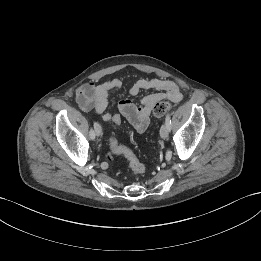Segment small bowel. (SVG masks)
I'll return each instance as SVG.
<instances>
[{
	"instance_id": "1",
	"label": "small bowel",
	"mask_w": 261,
	"mask_h": 261,
	"mask_svg": "<svg viewBox=\"0 0 261 261\" xmlns=\"http://www.w3.org/2000/svg\"><path fill=\"white\" fill-rule=\"evenodd\" d=\"M122 85L123 82L120 79H109L99 84L85 83L76 91L77 103L85 112L94 111L101 114L103 121H113L115 117L121 118L118 114L113 115L105 111L108 106L109 93L121 88ZM144 90H150L151 93L142 97L139 103L130 98L118 103L120 114L139 133H143L148 128L151 111L157 102L163 99L180 102L183 99L177 83L169 79H138L131 84L129 93L131 96H137Z\"/></svg>"
}]
</instances>
